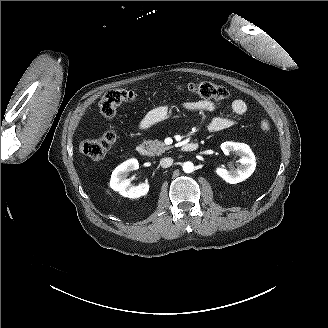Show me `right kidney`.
Returning a JSON list of instances; mask_svg holds the SVG:
<instances>
[{
    "label": "right kidney",
    "instance_id": "obj_1",
    "mask_svg": "<svg viewBox=\"0 0 328 328\" xmlns=\"http://www.w3.org/2000/svg\"><path fill=\"white\" fill-rule=\"evenodd\" d=\"M139 169V162L136 158H131L118 166L112 173L110 188L118 191L122 196L127 198H139L147 195L150 185L147 182L141 185H131V180L126 176L134 170Z\"/></svg>",
    "mask_w": 328,
    "mask_h": 328
}]
</instances>
